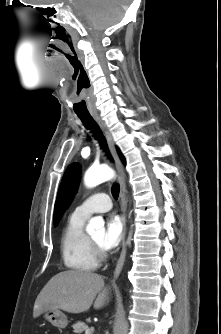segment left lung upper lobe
<instances>
[{
  "label": "left lung upper lobe",
  "mask_w": 221,
  "mask_h": 334,
  "mask_svg": "<svg viewBox=\"0 0 221 334\" xmlns=\"http://www.w3.org/2000/svg\"><path fill=\"white\" fill-rule=\"evenodd\" d=\"M119 154L123 162H125V159L120 153V151ZM80 171H81L80 165L77 163H72L68 166V168L64 173L54 208V224H57L63 211L70 204V201L72 200L77 190L80 178Z\"/></svg>",
  "instance_id": "obj_1"
}]
</instances>
